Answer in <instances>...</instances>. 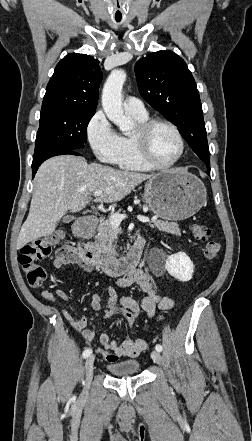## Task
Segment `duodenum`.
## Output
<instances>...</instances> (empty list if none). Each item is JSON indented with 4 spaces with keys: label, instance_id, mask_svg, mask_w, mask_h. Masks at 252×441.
Segmentation results:
<instances>
[{
    "label": "duodenum",
    "instance_id": "obj_1",
    "mask_svg": "<svg viewBox=\"0 0 252 441\" xmlns=\"http://www.w3.org/2000/svg\"><path fill=\"white\" fill-rule=\"evenodd\" d=\"M85 221L84 224H79L74 227V233L81 239L88 238L92 229L98 223L97 217L93 215L87 216ZM143 245L144 240L141 239L126 255L122 257H110L100 254L90 243L80 241L77 244V253L85 263L100 268V270L107 275L117 276L134 271L139 263Z\"/></svg>",
    "mask_w": 252,
    "mask_h": 441
}]
</instances>
